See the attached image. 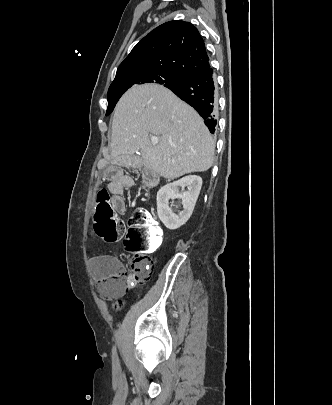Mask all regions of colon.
Segmentation results:
<instances>
[{"label":"colon","mask_w":332,"mask_h":405,"mask_svg":"<svg viewBox=\"0 0 332 405\" xmlns=\"http://www.w3.org/2000/svg\"><path fill=\"white\" fill-rule=\"evenodd\" d=\"M143 181L151 184L152 174L145 172ZM113 192L102 189L97 194L94 214L95 233L106 242H116L125 230L124 224L112 210L110 199ZM130 236L126 241L125 256H133L130 272L117 271L98 284L99 294L106 299H115L123 295L131 284L147 282L153 271L154 256L159 241H162V229L157 220L147 210L134 211L129 222Z\"/></svg>","instance_id":"5ec220e1"}]
</instances>
